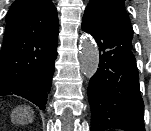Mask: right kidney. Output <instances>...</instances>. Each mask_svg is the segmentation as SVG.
<instances>
[{"label": "right kidney", "mask_w": 151, "mask_h": 131, "mask_svg": "<svg viewBox=\"0 0 151 131\" xmlns=\"http://www.w3.org/2000/svg\"><path fill=\"white\" fill-rule=\"evenodd\" d=\"M27 110H28V109H25V110H24V114H25V118H26V119H25V122H27V115H26V111H27Z\"/></svg>", "instance_id": "right-kidney-1"}]
</instances>
